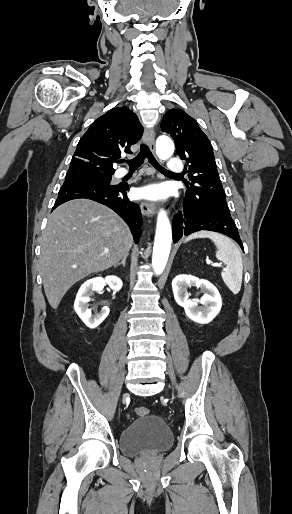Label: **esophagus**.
I'll return each instance as SVG.
<instances>
[{"mask_svg": "<svg viewBox=\"0 0 292 514\" xmlns=\"http://www.w3.org/2000/svg\"><path fill=\"white\" fill-rule=\"evenodd\" d=\"M144 142L149 146L150 150L152 152L155 151V132L153 129H145L144 131ZM140 208L142 210V213L147 216L151 217L155 215L156 213V206L154 203L143 201L140 204Z\"/></svg>", "mask_w": 292, "mask_h": 514, "instance_id": "1", "label": "esophagus"}]
</instances>
